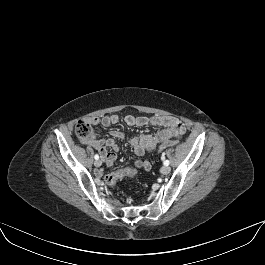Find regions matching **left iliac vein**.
Masks as SVG:
<instances>
[{"label": "left iliac vein", "mask_w": 265, "mask_h": 265, "mask_svg": "<svg viewBox=\"0 0 265 265\" xmlns=\"http://www.w3.org/2000/svg\"><path fill=\"white\" fill-rule=\"evenodd\" d=\"M171 171V168L169 166H163L161 169H160V172L164 175H167L168 173H170Z\"/></svg>", "instance_id": "left-iliac-vein-1"}]
</instances>
